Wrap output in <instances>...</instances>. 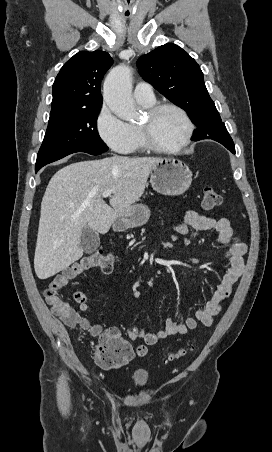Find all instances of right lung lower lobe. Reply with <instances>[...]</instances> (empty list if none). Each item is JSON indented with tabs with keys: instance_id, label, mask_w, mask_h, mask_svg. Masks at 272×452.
Instances as JSON below:
<instances>
[{
	"instance_id": "obj_1",
	"label": "right lung lower lobe",
	"mask_w": 272,
	"mask_h": 452,
	"mask_svg": "<svg viewBox=\"0 0 272 452\" xmlns=\"http://www.w3.org/2000/svg\"><path fill=\"white\" fill-rule=\"evenodd\" d=\"M75 152H85V153H89L91 155H99V154H101V153L90 152V151H87L85 149H80V148L72 149V150L67 151V152H65L63 154H60V155L47 156V157H43V158L37 159L36 165H35V171L38 172L39 169H41L43 166H45V165H47V164H49L51 162L57 161V160L65 157V156H67L69 154H72V153H75Z\"/></svg>"
}]
</instances>
